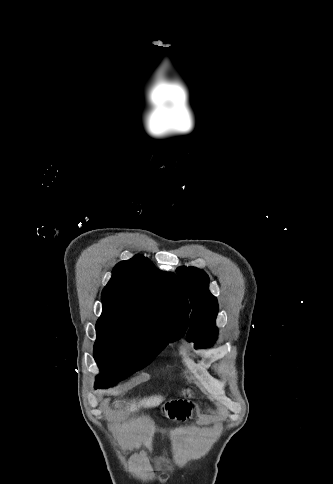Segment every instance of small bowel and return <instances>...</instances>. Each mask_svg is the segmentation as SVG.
Masks as SVG:
<instances>
[{
  "mask_svg": "<svg viewBox=\"0 0 333 484\" xmlns=\"http://www.w3.org/2000/svg\"><path fill=\"white\" fill-rule=\"evenodd\" d=\"M190 398L191 393L185 392L182 397L167 401L161 408L162 416L173 421H183L191 417L196 407Z\"/></svg>",
  "mask_w": 333,
  "mask_h": 484,
  "instance_id": "c3829d8e",
  "label": "small bowel"
}]
</instances>
